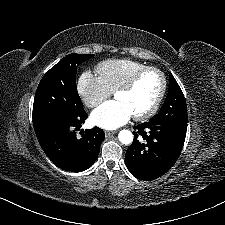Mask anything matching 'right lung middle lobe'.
I'll return each mask as SVG.
<instances>
[{
  "label": "right lung middle lobe",
  "instance_id": "dd1d6c3e",
  "mask_svg": "<svg viewBox=\"0 0 225 225\" xmlns=\"http://www.w3.org/2000/svg\"><path fill=\"white\" fill-rule=\"evenodd\" d=\"M93 56L94 54H69L45 73L34 98V129L41 127L48 120L83 109L77 92L76 72L81 63Z\"/></svg>",
  "mask_w": 225,
  "mask_h": 225
}]
</instances>
